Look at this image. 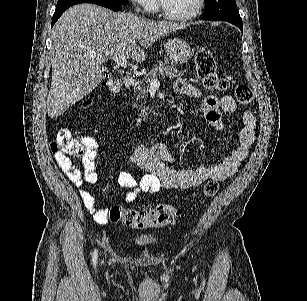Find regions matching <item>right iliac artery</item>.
Listing matches in <instances>:
<instances>
[{"label":"right iliac artery","instance_id":"right-iliac-artery-1","mask_svg":"<svg viewBox=\"0 0 307 301\" xmlns=\"http://www.w3.org/2000/svg\"><path fill=\"white\" fill-rule=\"evenodd\" d=\"M97 263V251H94V255H93V265H96Z\"/></svg>","mask_w":307,"mask_h":301}]
</instances>
